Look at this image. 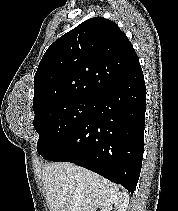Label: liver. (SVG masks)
Returning <instances> with one entry per match:
<instances>
[{
  "label": "liver",
  "instance_id": "liver-1",
  "mask_svg": "<svg viewBox=\"0 0 178 211\" xmlns=\"http://www.w3.org/2000/svg\"><path fill=\"white\" fill-rule=\"evenodd\" d=\"M43 185L50 211H96L119 188L102 176L72 163H49Z\"/></svg>",
  "mask_w": 178,
  "mask_h": 211
}]
</instances>
